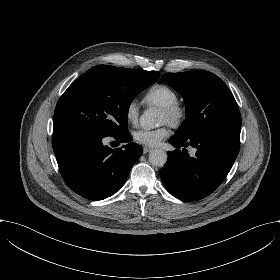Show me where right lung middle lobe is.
Returning a JSON list of instances; mask_svg holds the SVG:
<instances>
[{"label": "right lung middle lobe", "mask_w": 280, "mask_h": 280, "mask_svg": "<svg viewBox=\"0 0 280 280\" xmlns=\"http://www.w3.org/2000/svg\"><path fill=\"white\" fill-rule=\"evenodd\" d=\"M153 83L140 70L95 66L76 79L59 99L53 133L79 131L97 137L124 133L132 100Z\"/></svg>", "instance_id": "obj_1"}]
</instances>
